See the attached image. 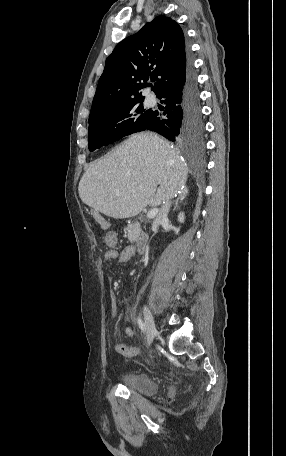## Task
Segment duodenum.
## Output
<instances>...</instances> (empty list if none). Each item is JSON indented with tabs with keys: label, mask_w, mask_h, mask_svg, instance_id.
Here are the masks:
<instances>
[{
	"label": "duodenum",
	"mask_w": 286,
	"mask_h": 456,
	"mask_svg": "<svg viewBox=\"0 0 286 456\" xmlns=\"http://www.w3.org/2000/svg\"><path fill=\"white\" fill-rule=\"evenodd\" d=\"M148 245V237L145 234H142L137 242V251L139 253L144 252Z\"/></svg>",
	"instance_id": "410a0bca"
}]
</instances>
